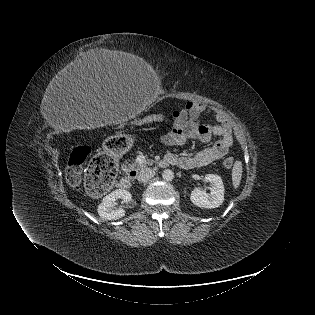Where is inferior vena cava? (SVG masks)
Here are the masks:
<instances>
[{"instance_id": "obj_1", "label": "inferior vena cava", "mask_w": 315, "mask_h": 315, "mask_svg": "<svg viewBox=\"0 0 315 315\" xmlns=\"http://www.w3.org/2000/svg\"><path fill=\"white\" fill-rule=\"evenodd\" d=\"M154 175H155V171L153 169H151V168H143L139 172L137 179H138L139 182H147L151 178H153Z\"/></svg>"}]
</instances>
